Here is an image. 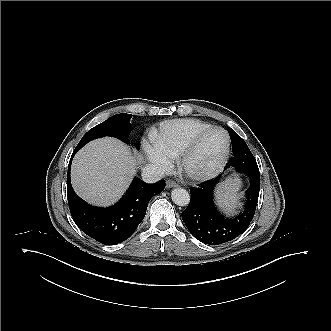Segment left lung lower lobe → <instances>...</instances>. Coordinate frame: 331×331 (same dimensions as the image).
<instances>
[{"label": "left lung lower lobe", "instance_id": "1", "mask_svg": "<svg viewBox=\"0 0 331 331\" xmlns=\"http://www.w3.org/2000/svg\"><path fill=\"white\" fill-rule=\"evenodd\" d=\"M235 168L249 178L250 187L246 191L247 202L243 213L233 219L220 215L213 203V189L220 176L190 190L191 200L182 213V219L191 234L202 243L219 245L231 241L241 235L253 219L260 190L259 169L243 165H235Z\"/></svg>", "mask_w": 331, "mask_h": 331}]
</instances>
